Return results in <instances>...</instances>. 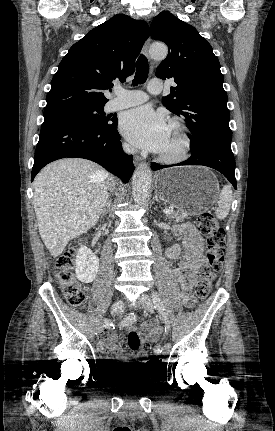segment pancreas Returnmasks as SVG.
<instances>
[{
    "label": "pancreas",
    "instance_id": "pancreas-1",
    "mask_svg": "<svg viewBox=\"0 0 275 431\" xmlns=\"http://www.w3.org/2000/svg\"><path fill=\"white\" fill-rule=\"evenodd\" d=\"M170 219H173L175 222H183L186 216L179 212H174L168 216Z\"/></svg>",
    "mask_w": 275,
    "mask_h": 431
}]
</instances>
